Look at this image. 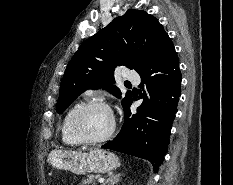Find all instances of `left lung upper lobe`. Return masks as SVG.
<instances>
[{"label":"left lung upper lobe","mask_w":233,"mask_h":185,"mask_svg":"<svg viewBox=\"0 0 233 185\" xmlns=\"http://www.w3.org/2000/svg\"><path fill=\"white\" fill-rule=\"evenodd\" d=\"M168 37L163 26L142 10L129 9L108 26L84 41L70 60L60 86L57 112L65 109L85 90L105 86L120 98L114 70L126 66L140 73ZM132 101L127 92L122 101L124 111Z\"/></svg>","instance_id":"left-lung-upper-lobe-1"}]
</instances>
